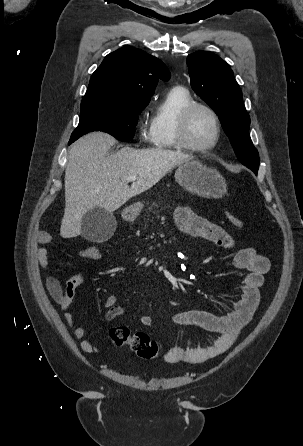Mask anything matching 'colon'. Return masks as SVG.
<instances>
[{
  "instance_id": "5ec220e1",
  "label": "colon",
  "mask_w": 303,
  "mask_h": 446,
  "mask_svg": "<svg viewBox=\"0 0 303 446\" xmlns=\"http://www.w3.org/2000/svg\"><path fill=\"white\" fill-rule=\"evenodd\" d=\"M227 219L231 225L236 228H242V220L232 212L226 213ZM83 256L91 261L99 260L102 251L96 246L87 248ZM109 336L113 344L117 346H129L139 357L143 359H153L158 354V345L154 339L144 332L131 333L125 326H116L109 330Z\"/></svg>"
}]
</instances>
